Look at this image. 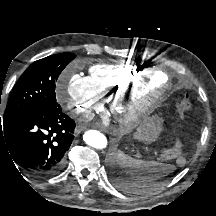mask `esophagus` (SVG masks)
<instances>
[{
  "label": "esophagus",
  "mask_w": 216,
  "mask_h": 216,
  "mask_svg": "<svg viewBox=\"0 0 216 216\" xmlns=\"http://www.w3.org/2000/svg\"><path fill=\"white\" fill-rule=\"evenodd\" d=\"M86 129V126H84V125H77L76 127H75V133L76 134H79V133H81L82 131H84Z\"/></svg>",
  "instance_id": "obj_1"
}]
</instances>
